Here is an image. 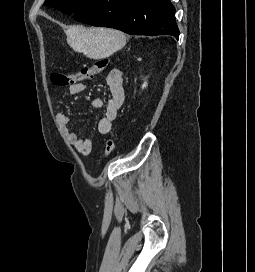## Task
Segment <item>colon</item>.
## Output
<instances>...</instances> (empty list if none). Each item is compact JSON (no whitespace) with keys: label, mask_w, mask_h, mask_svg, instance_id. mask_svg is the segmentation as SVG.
<instances>
[{"label":"colon","mask_w":255,"mask_h":272,"mask_svg":"<svg viewBox=\"0 0 255 272\" xmlns=\"http://www.w3.org/2000/svg\"><path fill=\"white\" fill-rule=\"evenodd\" d=\"M108 64L107 59H98L91 66H84L75 73L66 74L63 72H53L51 74V81L58 86H68L85 80L93 78L100 73ZM115 150V141L113 138H108L105 142L103 156L109 157Z\"/></svg>","instance_id":"1"}]
</instances>
